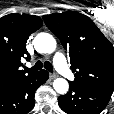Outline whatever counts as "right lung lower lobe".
<instances>
[{
	"instance_id": "1",
	"label": "right lung lower lobe",
	"mask_w": 114,
	"mask_h": 114,
	"mask_svg": "<svg viewBox=\"0 0 114 114\" xmlns=\"http://www.w3.org/2000/svg\"><path fill=\"white\" fill-rule=\"evenodd\" d=\"M49 78L45 70L0 90V114H26L35 105V91Z\"/></svg>"
}]
</instances>
